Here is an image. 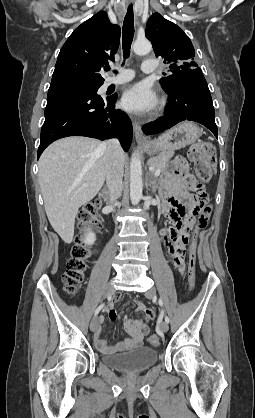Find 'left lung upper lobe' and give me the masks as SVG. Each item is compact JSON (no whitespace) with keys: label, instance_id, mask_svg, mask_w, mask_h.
<instances>
[{"label":"left lung upper lobe","instance_id":"1","mask_svg":"<svg viewBox=\"0 0 255 418\" xmlns=\"http://www.w3.org/2000/svg\"><path fill=\"white\" fill-rule=\"evenodd\" d=\"M146 37L151 41L156 57H162L169 65L170 74L160 79V84L168 93L183 77L201 72L194 61L195 50L191 40L176 24L154 13L146 26Z\"/></svg>","mask_w":255,"mask_h":418}]
</instances>
